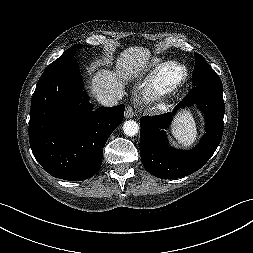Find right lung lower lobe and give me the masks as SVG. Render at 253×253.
<instances>
[{"mask_svg": "<svg viewBox=\"0 0 253 253\" xmlns=\"http://www.w3.org/2000/svg\"><path fill=\"white\" fill-rule=\"evenodd\" d=\"M76 59L45 69L32 97L29 141L50 175L70 181L92 177L103 148L124 116L123 104L93 110L84 97Z\"/></svg>", "mask_w": 253, "mask_h": 253, "instance_id": "obj_1", "label": "right lung lower lobe"}]
</instances>
